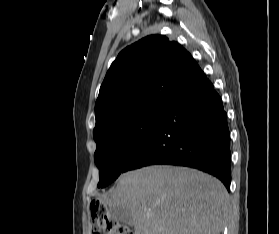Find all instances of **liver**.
<instances>
[{
  "instance_id": "1",
  "label": "liver",
  "mask_w": 279,
  "mask_h": 234,
  "mask_svg": "<svg viewBox=\"0 0 279 234\" xmlns=\"http://www.w3.org/2000/svg\"><path fill=\"white\" fill-rule=\"evenodd\" d=\"M100 200L109 207L127 209L134 234H220L229 215L224 185L185 167L129 171Z\"/></svg>"
}]
</instances>
